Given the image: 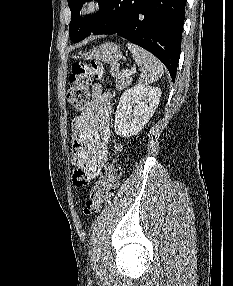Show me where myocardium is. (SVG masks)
<instances>
[{
    "instance_id": "obj_1",
    "label": "myocardium",
    "mask_w": 233,
    "mask_h": 286,
    "mask_svg": "<svg viewBox=\"0 0 233 286\" xmlns=\"http://www.w3.org/2000/svg\"><path fill=\"white\" fill-rule=\"evenodd\" d=\"M102 0H83L78 8V16L82 19L94 15L101 7Z\"/></svg>"
}]
</instances>
